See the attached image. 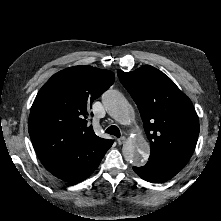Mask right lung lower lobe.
<instances>
[{
  "mask_svg": "<svg viewBox=\"0 0 221 221\" xmlns=\"http://www.w3.org/2000/svg\"><path fill=\"white\" fill-rule=\"evenodd\" d=\"M112 144L113 142L104 139H95L68 148L41 162L57 178L76 184L97 169Z\"/></svg>",
  "mask_w": 221,
  "mask_h": 221,
  "instance_id": "98d812e1",
  "label": "right lung lower lobe"
}]
</instances>
